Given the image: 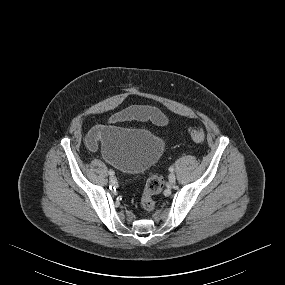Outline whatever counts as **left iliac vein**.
I'll return each mask as SVG.
<instances>
[{"instance_id": "1", "label": "left iliac vein", "mask_w": 285, "mask_h": 285, "mask_svg": "<svg viewBox=\"0 0 285 285\" xmlns=\"http://www.w3.org/2000/svg\"><path fill=\"white\" fill-rule=\"evenodd\" d=\"M168 179H169V182H170V183H175V181H176V176H175V174H174V173H171V174L169 175Z\"/></svg>"}]
</instances>
